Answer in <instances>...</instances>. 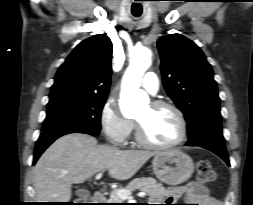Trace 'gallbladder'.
I'll list each match as a JSON object with an SVG mask.
<instances>
[{"mask_svg": "<svg viewBox=\"0 0 253 205\" xmlns=\"http://www.w3.org/2000/svg\"><path fill=\"white\" fill-rule=\"evenodd\" d=\"M76 194L80 197H89L90 193L87 190H77Z\"/></svg>", "mask_w": 253, "mask_h": 205, "instance_id": "1", "label": "gallbladder"}]
</instances>
